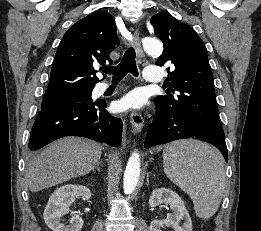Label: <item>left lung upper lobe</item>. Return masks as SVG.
Wrapping results in <instances>:
<instances>
[{
    "label": "left lung upper lobe",
    "instance_id": "5c2ea615",
    "mask_svg": "<svg viewBox=\"0 0 261 231\" xmlns=\"http://www.w3.org/2000/svg\"><path fill=\"white\" fill-rule=\"evenodd\" d=\"M150 22L164 44L156 65L168 66L169 85L174 87L167 95L157 96L155 104L167 111L182 112L224 135L205 44L191 27L167 12L154 15Z\"/></svg>",
    "mask_w": 261,
    "mask_h": 231
}]
</instances>
